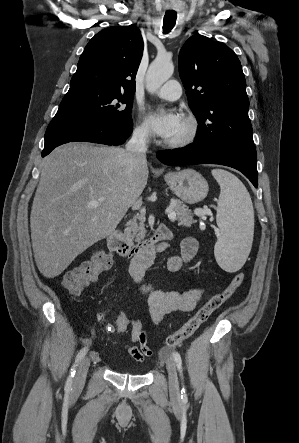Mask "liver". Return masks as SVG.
<instances>
[{"label": "liver", "instance_id": "1", "mask_svg": "<svg viewBox=\"0 0 299 443\" xmlns=\"http://www.w3.org/2000/svg\"><path fill=\"white\" fill-rule=\"evenodd\" d=\"M147 162L120 147L68 143L43 159L30 215L36 265L47 278L111 234L142 194ZM102 201L96 207L89 202Z\"/></svg>", "mask_w": 299, "mask_h": 443}]
</instances>
